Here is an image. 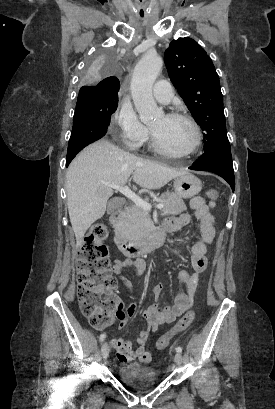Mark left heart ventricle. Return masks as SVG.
<instances>
[{"label": "left heart ventricle", "instance_id": "left-heart-ventricle-1", "mask_svg": "<svg viewBox=\"0 0 275 409\" xmlns=\"http://www.w3.org/2000/svg\"><path fill=\"white\" fill-rule=\"evenodd\" d=\"M149 127L161 143L170 150L185 151L193 142V130L183 120H168L164 115H161Z\"/></svg>", "mask_w": 275, "mask_h": 409}]
</instances>
